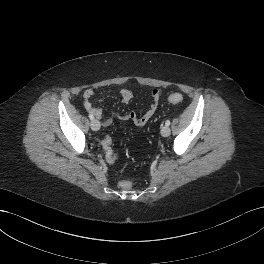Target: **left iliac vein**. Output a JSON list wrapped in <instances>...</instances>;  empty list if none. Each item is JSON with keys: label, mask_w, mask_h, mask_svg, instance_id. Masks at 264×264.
I'll use <instances>...</instances> for the list:
<instances>
[{"label": "left iliac vein", "mask_w": 264, "mask_h": 264, "mask_svg": "<svg viewBox=\"0 0 264 264\" xmlns=\"http://www.w3.org/2000/svg\"><path fill=\"white\" fill-rule=\"evenodd\" d=\"M170 133H171V130H170V128L167 125H165V126H163L161 128V134H162V136L167 137V136L170 135Z\"/></svg>", "instance_id": "4c4485c4"}]
</instances>
